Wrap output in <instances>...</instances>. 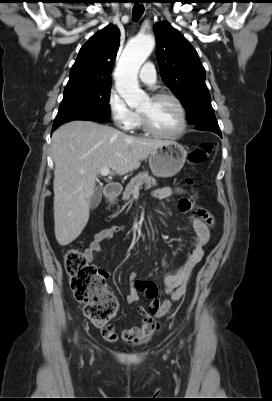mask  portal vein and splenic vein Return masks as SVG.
<instances>
[{"label":"portal vein and splenic vein","mask_w":272,"mask_h":401,"mask_svg":"<svg viewBox=\"0 0 272 401\" xmlns=\"http://www.w3.org/2000/svg\"><path fill=\"white\" fill-rule=\"evenodd\" d=\"M100 174L102 176H109L112 174L111 170L108 167H104L100 170Z\"/></svg>","instance_id":"18ae733b"}]
</instances>
